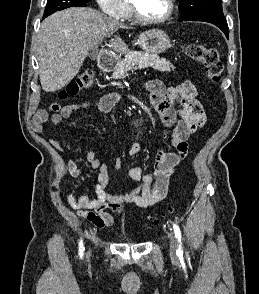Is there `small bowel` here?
Returning a JSON list of instances; mask_svg holds the SVG:
<instances>
[{
  "label": "small bowel",
  "instance_id": "1",
  "mask_svg": "<svg viewBox=\"0 0 259 294\" xmlns=\"http://www.w3.org/2000/svg\"><path fill=\"white\" fill-rule=\"evenodd\" d=\"M145 89L149 91L151 102L159 111L164 126L172 133V145L177 152L168 153L159 149L155 159L154 177L144 174L141 167L128 170V177L140 186L131 189L125 195H113L107 191L109 184V167L102 163L93 150L88 151L86 159L92 169L98 170L96 175L95 198L81 196L76 198L73 194L67 195L69 205L77 214L87 219L95 227L105 228L114 224V217L109 211L123 215L126 204H134L137 207L146 208L162 201L168 191L169 177L174 168L180 164L187 155L189 137L201 129L207 122V115L201 103L197 99V90L190 81H183L175 87H167L160 80L153 79L145 83ZM120 95L108 93L97 103L96 107L103 114L109 113ZM86 102L61 105L52 104L48 109L39 110L33 120L32 128L36 132L45 130L48 121L58 124L62 119L71 117L78 110L87 108ZM53 145L62 149V144L55 138L51 139ZM140 146L133 144L128 150L130 156L139 153ZM118 164H115V168ZM68 170L72 177H82L84 172L74 160L68 163Z\"/></svg>",
  "mask_w": 259,
  "mask_h": 294
}]
</instances>
